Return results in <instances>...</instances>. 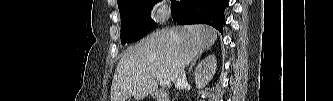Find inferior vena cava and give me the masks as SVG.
Here are the masks:
<instances>
[{
  "mask_svg": "<svg viewBox=\"0 0 333 101\" xmlns=\"http://www.w3.org/2000/svg\"><path fill=\"white\" fill-rule=\"evenodd\" d=\"M185 82H186V73L184 71V68H181L176 77L175 87L180 90V89H182Z\"/></svg>",
  "mask_w": 333,
  "mask_h": 101,
  "instance_id": "obj_1",
  "label": "inferior vena cava"
}]
</instances>
